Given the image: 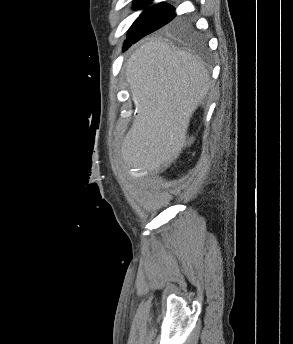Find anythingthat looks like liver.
Masks as SVG:
<instances>
[{
  "label": "liver",
  "instance_id": "6515ba94",
  "mask_svg": "<svg viewBox=\"0 0 293 344\" xmlns=\"http://www.w3.org/2000/svg\"><path fill=\"white\" fill-rule=\"evenodd\" d=\"M137 115L121 154L129 167L158 172L180 154L190 118L211 81L201 61L160 39L137 48L126 65Z\"/></svg>",
  "mask_w": 293,
  "mask_h": 344
}]
</instances>
